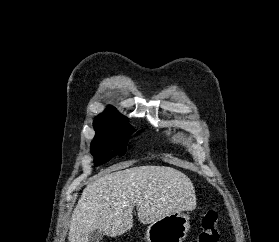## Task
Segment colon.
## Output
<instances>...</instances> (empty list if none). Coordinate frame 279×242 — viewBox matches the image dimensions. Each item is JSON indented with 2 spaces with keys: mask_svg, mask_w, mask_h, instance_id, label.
Returning <instances> with one entry per match:
<instances>
[{
  "mask_svg": "<svg viewBox=\"0 0 279 242\" xmlns=\"http://www.w3.org/2000/svg\"><path fill=\"white\" fill-rule=\"evenodd\" d=\"M219 214L216 207L205 210L201 216V229L191 242H218Z\"/></svg>",
  "mask_w": 279,
  "mask_h": 242,
  "instance_id": "colon-1",
  "label": "colon"
}]
</instances>
